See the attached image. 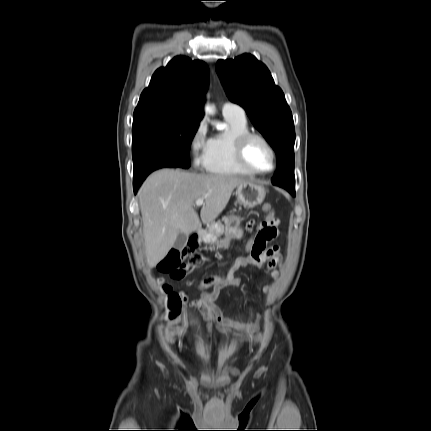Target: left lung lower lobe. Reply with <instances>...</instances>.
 Wrapping results in <instances>:
<instances>
[{"instance_id":"obj_1","label":"left lung lower lobe","mask_w":431,"mask_h":431,"mask_svg":"<svg viewBox=\"0 0 431 431\" xmlns=\"http://www.w3.org/2000/svg\"><path fill=\"white\" fill-rule=\"evenodd\" d=\"M287 191H289L292 195H295V191L294 190H287Z\"/></svg>"}]
</instances>
